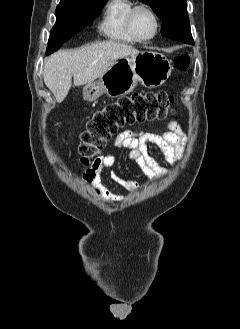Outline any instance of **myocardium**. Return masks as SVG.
Segmentation results:
<instances>
[{"instance_id":"obj_1","label":"myocardium","mask_w":240,"mask_h":329,"mask_svg":"<svg viewBox=\"0 0 240 329\" xmlns=\"http://www.w3.org/2000/svg\"><path fill=\"white\" fill-rule=\"evenodd\" d=\"M141 10L147 11L152 16L154 23H155L154 31L148 37H141L140 35H138V33L136 32L135 27H134L135 16ZM127 28H128L129 33L133 36V38L136 41L147 42V41H150L151 39H153L157 35V33L160 29V19H159L157 12L151 6H149L147 4H137L129 12V15L127 18Z\"/></svg>"}]
</instances>
